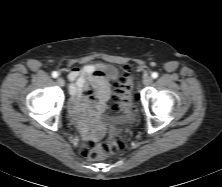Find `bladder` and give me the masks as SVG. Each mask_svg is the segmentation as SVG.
Here are the masks:
<instances>
[{"mask_svg":"<svg viewBox=\"0 0 222 187\" xmlns=\"http://www.w3.org/2000/svg\"><path fill=\"white\" fill-rule=\"evenodd\" d=\"M137 117L136 110L133 108H127L120 116H104L101 118L103 121L110 122L119 126L130 125Z\"/></svg>","mask_w":222,"mask_h":187,"instance_id":"31cf9c89","label":"bladder"}]
</instances>
